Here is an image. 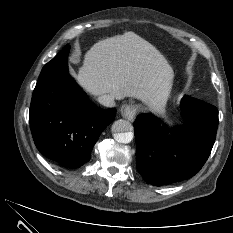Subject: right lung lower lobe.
<instances>
[{
    "mask_svg": "<svg viewBox=\"0 0 233 233\" xmlns=\"http://www.w3.org/2000/svg\"><path fill=\"white\" fill-rule=\"evenodd\" d=\"M69 49L48 62L36 84L29 122L38 150L66 168H78L90 160L91 151L116 109L102 110L68 74Z\"/></svg>",
    "mask_w": 233,
    "mask_h": 233,
    "instance_id": "1",
    "label": "right lung lower lobe"
}]
</instances>
